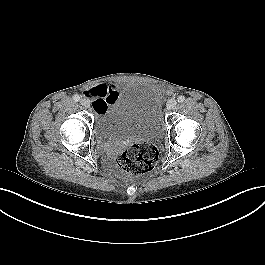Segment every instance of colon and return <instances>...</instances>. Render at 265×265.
Instances as JSON below:
<instances>
[{"mask_svg":"<svg viewBox=\"0 0 265 265\" xmlns=\"http://www.w3.org/2000/svg\"><path fill=\"white\" fill-rule=\"evenodd\" d=\"M159 151L151 143H135L126 146L117 156V165L126 175H142L151 172L158 163Z\"/></svg>","mask_w":265,"mask_h":265,"instance_id":"5ec220e1","label":"colon"}]
</instances>
